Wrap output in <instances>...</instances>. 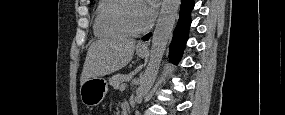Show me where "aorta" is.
Listing matches in <instances>:
<instances>
[{"instance_id": "aorta-1", "label": "aorta", "mask_w": 285, "mask_h": 115, "mask_svg": "<svg viewBox=\"0 0 285 115\" xmlns=\"http://www.w3.org/2000/svg\"><path fill=\"white\" fill-rule=\"evenodd\" d=\"M180 3V0H163L162 2L152 37L149 63L136 91L135 99L138 101H141L148 93L156 79L166 45L173 31Z\"/></svg>"}]
</instances>
